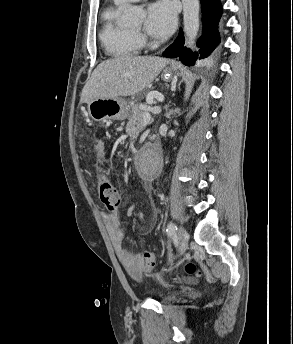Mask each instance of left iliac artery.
I'll return each mask as SVG.
<instances>
[{
  "label": "left iliac artery",
  "mask_w": 293,
  "mask_h": 344,
  "mask_svg": "<svg viewBox=\"0 0 293 344\" xmlns=\"http://www.w3.org/2000/svg\"><path fill=\"white\" fill-rule=\"evenodd\" d=\"M177 231V226L174 223H169L167 226V234L172 236Z\"/></svg>",
  "instance_id": "obj_1"
}]
</instances>
